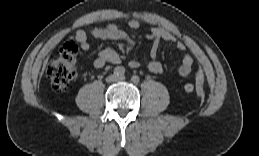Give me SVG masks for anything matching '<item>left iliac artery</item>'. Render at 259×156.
Instances as JSON below:
<instances>
[{"label": "left iliac artery", "instance_id": "1", "mask_svg": "<svg viewBox=\"0 0 259 156\" xmlns=\"http://www.w3.org/2000/svg\"><path fill=\"white\" fill-rule=\"evenodd\" d=\"M131 80H132L134 83H138L139 80H140V78H139L137 75H133V76L131 77Z\"/></svg>", "mask_w": 259, "mask_h": 156}]
</instances>
